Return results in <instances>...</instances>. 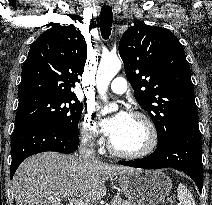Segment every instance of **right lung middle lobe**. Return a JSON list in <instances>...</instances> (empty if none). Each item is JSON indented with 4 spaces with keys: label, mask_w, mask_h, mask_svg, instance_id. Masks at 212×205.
Masks as SVG:
<instances>
[{
    "label": "right lung middle lobe",
    "mask_w": 212,
    "mask_h": 205,
    "mask_svg": "<svg viewBox=\"0 0 212 205\" xmlns=\"http://www.w3.org/2000/svg\"><path fill=\"white\" fill-rule=\"evenodd\" d=\"M83 106L77 98L48 94L21 98L15 126L31 122H48L78 134V123Z\"/></svg>",
    "instance_id": "1"
}]
</instances>
